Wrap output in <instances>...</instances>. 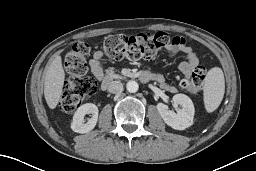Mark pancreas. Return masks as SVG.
Masks as SVG:
<instances>
[{
  "instance_id": "pancreas-1",
  "label": "pancreas",
  "mask_w": 256,
  "mask_h": 171,
  "mask_svg": "<svg viewBox=\"0 0 256 171\" xmlns=\"http://www.w3.org/2000/svg\"><path fill=\"white\" fill-rule=\"evenodd\" d=\"M123 77L117 73H115V69L110 67L106 70L105 79L112 80V79H122Z\"/></svg>"
}]
</instances>
